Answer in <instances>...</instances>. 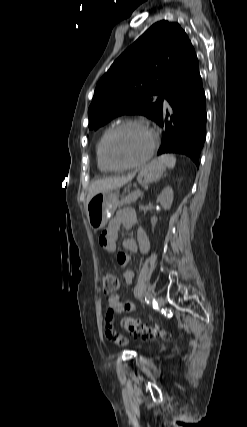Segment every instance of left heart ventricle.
Returning a JSON list of instances; mask_svg holds the SVG:
<instances>
[{
    "mask_svg": "<svg viewBox=\"0 0 247 427\" xmlns=\"http://www.w3.org/2000/svg\"><path fill=\"white\" fill-rule=\"evenodd\" d=\"M152 136L146 129L130 126L117 132L110 141L109 154L117 164H128L142 158L150 148Z\"/></svg>",
    "mask_w": 247,
    "mask_h": 427,
    "instance_id": "1",
    "label": "left heart ventricle"
}]
</instances>
